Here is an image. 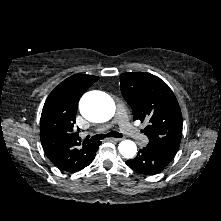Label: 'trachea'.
Instances as JSON below:
<instances>
[{
    "label": "trachea",
    "mask_w": 221,
    "mask_h": 221,
    "mask_svg": "<svg viewBox=\"0 0 221 221\" xmlns=\"http://www.w3.org/2000/svg\"><path fill=\"white\" fill-rule=\"evenodd\" d=\"M105 137L121 138V137H123V135L121 133L111 131V132H109L107 134H97V135L91 137L90 140L91 141H99V140L104 139Z\"/></svg>",
    "instance_id": "3493384b"
}]
</instances>
